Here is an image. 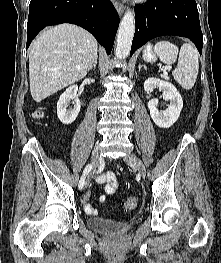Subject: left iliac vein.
<instances>
[{"instance_id":"4c4485c4","label":"left iliac vein","mask_w":221,"mask_h":263,"mask_svg":"<svg viewBox=\"0 0 221 263\" xmlns=\"http://www.w3.org/2000/svg\"><path fill=\"white\" fill-rule=\"evenodd\" d=\"M124 162L136 168L142 178L146 176V169L143 162L133 153H128L124 158Z\"/></svg>"}]
</instances>
